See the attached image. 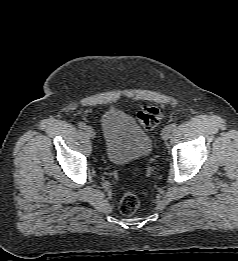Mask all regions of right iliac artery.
<instances>
[{
    "label": "right iliac artery",
    "mask_w": 238,
    "mask_h": 261,
    "mask_svg": "<svg viewBox=\"0 0 238 261\" xmlns=\"http://www.w3.org/2000/svg\"><path fill=\"white\" fill-rule=\"evenodd\" d=\"M79 127H80L81 129H85V128H86V124H85L84 122H80V123H79Z\"/></svg>",
    "instance_id": "obj_1"
}]
</instances>
